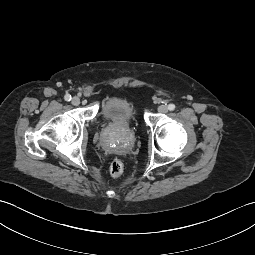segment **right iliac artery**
Returning <instances> with one entry per match:
<instances>
[{
  "instance_id": "1",
  "label": "right iliac artery",
  "mask_w": 255,
  "mask_h": 255,
  "mask_svg": "<svg viewBox=\"0 0 255 255\" xmlns=\"http://www.w3.org/2000/svg\"><path fill=\"white\" fill-rule=\"evenodd\" d=\"M64 99L66 101H70L71 100V95H69V94L65 95Z\"/></svg>"
}]
</instances>
